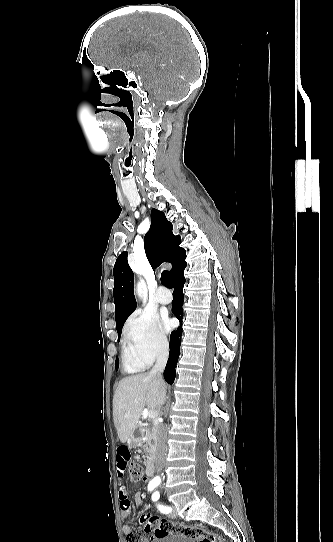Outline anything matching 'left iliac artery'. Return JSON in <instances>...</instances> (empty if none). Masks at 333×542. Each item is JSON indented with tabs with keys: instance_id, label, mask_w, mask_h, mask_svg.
<instances>
[{
	"instance_id": "obj_1",
	"label": "left iliac artery",
	"mask_w": 333,
	"mask_h": 542,
	"mask_svg": "<svg viewBox=\"0 0 333 542\" xmlns=\"http://www.w3.org/2000/svg\"><path fill=\"white\" fill-rule=\"evenodd\" d=\"M159 497H160V494H159V492L156 491L152 495V500L156 502L159 499ZM157 507H158L159 511L161 513H164V514L170 513L172 511V509L170 507H166V506H163V505H157Z\"/></svg>"
}]
</instances>
